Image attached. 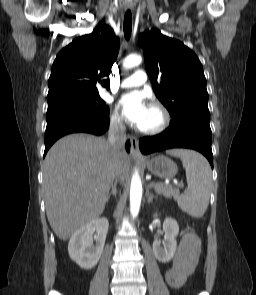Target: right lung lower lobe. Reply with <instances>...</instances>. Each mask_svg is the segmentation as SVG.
I'll return each instance as SVG.
<instances>
[{"mask_svg":"<svg viewBox=\"0 0 256 295\" xmlns=\"http://www.w3.org/2000/svg\"><path fill=\"white\" fill-rule=\"evenodd\" d=\"M109 110L103 113L81 112L76 110H52L47 111V127L45 131V151L53 143L64 135L75 132H86L101 135L109 127ZM129 151L130 142L126 143Z\"/></svg>","mask_w":256,"mask_h":295,"instance_id":"98d812e1","label":"right lung lower lobe"}]
</instances>
